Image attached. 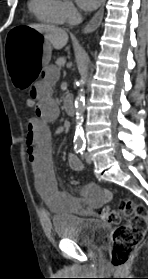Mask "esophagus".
<instances>
[{
  "instance_id": "34e87169",
  "label": "esophagus",
  "mask_w": 148,
  "mask_h": 279,
  "mask_svg": "<svg viewBox=\"0 0 148 279\" xmlns=\"http://www.w3.org/2000/svg\"><path fill=\"white\" fill-rule=\"evenodd\" d=\"M104 6H105V0H103L100 9L95 13V15L91 18V20L86 25L84 29L85 34L95 31L100 26L104 14Z\"/></svg>"
}]
</instances>
